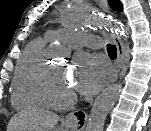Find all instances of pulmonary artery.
I'll return each instance as SVG.
<instances>
[{
	"label": "pulmonary artery",
	"mask_w": 151,
	"mask_h": 131,
	"mask_svg": "<svg viewBox=\"0 0 151 131\" xmlns=\"http://www.w3.org/2000/svg\"><path fill=\"white\" fill-rule=\"evenodd\" d=\"M47 40L60 39L62 42L71 47H79L83 45L97 46V41L93 36L76 32L70 29H57L46 32Z\"/></svg>",
	"instance_id": "pulmonary-artery-1"
}]
</instances>
